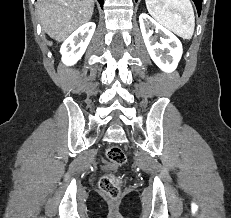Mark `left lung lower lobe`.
<instances>
[{
	"mask_svg": "<svg viewBox=\"0 0 231 218\" xmlns=\"http://www.w3.org/2000/svg\"><path fill=\"white\" fill-rule=\"evenodd\" d=\"M135 1H137V0H135ZM193 1L197 7L198 14L200 15L201 8H202V0H193Z\"/></svg>",
	"mask_w": 231,
	"mask_h": 218,
	"instance_id": "1",
	"label": "left lung lower lobe"
}]
</instances>
